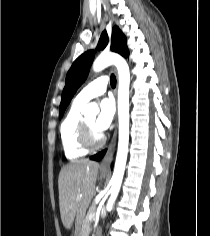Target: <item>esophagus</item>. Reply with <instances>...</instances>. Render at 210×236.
<instances>
[{
    "label": "esophagus",
    "instance_id": "1",
    "mask_svg": "<svg viewBox=\"0 0 210 236\" xmlns=\"http://www.w3.org/2000/svg\"><path fill=\"white\" fill-rule=\"evenodd\" d=\"M117 141V117H115V129L109 146L105 152V155L100 163V169L107 171L110 167V163L114 154Z\"/></svg>",
    "mask_w": 210,
    "mask_h": 236
}]
</instances>
